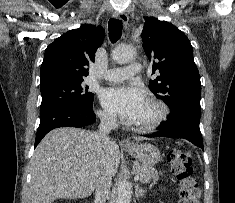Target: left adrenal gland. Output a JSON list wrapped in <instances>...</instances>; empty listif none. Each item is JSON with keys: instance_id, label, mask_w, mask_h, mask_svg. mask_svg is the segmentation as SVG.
Here are the masks:
<instances>
[{"instance_id": "left-adrenal-gland-1", "label": "left adrenal gland", "mask_w": 235, "mask_h": 203, "mask_svg": "<svg viewBox=\"0 0 235 203\" xmlns=\"http://www.w3.org/2000/svg\"><path fill=\"white\" fill-rule=\"evenodd\" d=\"M145 194V190L140 188V186L137 184L135 186V196L136 198L143 197Z\"/></svg>"}]
</instances>
